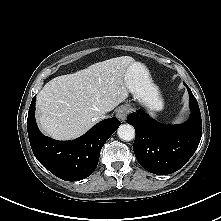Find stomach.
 Returning <instances> with one entry per match:
<instances>
[{
  "label": "stomach",
  "instance_id": "1",
  "mask_svg": "<svg viewBox=\"0 0 221 221\" xmlns=\"http://www.w3.org/2000/svg\"><path fill=\"white\" fill-rule=\"evenodd\" d=\"M125 82L134 98L143 103L151 112L162 110L163 100L143 64L138 62L130 64L125 75Z\"/></svg>",
  "mask_w": 221,
  "mask_h": 221
}]
</instances>
